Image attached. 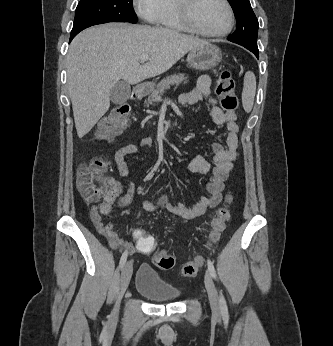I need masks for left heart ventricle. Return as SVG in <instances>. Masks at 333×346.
<instances>
[{
	"instance_id": "b2bd125f",
	"label": "left heart ventricle",
	"mask_w": 333,
	"mask_h": 346,
	"mask_svg": "<svg viewBox=\"0 0 333 346\" xmlns=\"http://www.w3.org/2000/svg\"><path fill=\"white\" fill-rule=\"evenodd\" d=\"M194 17L207 32L223 31L228 25V12L221 0H196Z\"/></svg>"
}]
</instances>
